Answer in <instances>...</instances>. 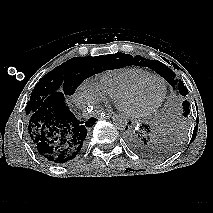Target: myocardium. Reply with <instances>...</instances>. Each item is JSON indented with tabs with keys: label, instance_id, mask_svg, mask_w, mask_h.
<instances>
[{
	"label": "myocardium",
	"instance_id": "myocardium-1",
	"mask_svg": "<svg viewBox=\"0 0 213 213\" xmlns=\"http://www.w3.org/2000/svg\"><path fill=\"white\" fill-rule=\"evenodd\" d=\"M150 79H157L162 84L163 92H162V96H161L160 100L157 103H155L147 108L141 109V110H130V109L126 108L124 105L125 100L128 97H130L132 94H134L140 88V86H142L146 81H148ZM166 94H167V87H166L165 80L160 75L151 73L147 76L139 78L138 80H136L135 82L130 84L127 88H125L116 97L115 103H116L117 108L126 116L133 117V118H141V117L151 115L156 110H158L161 107V105L163 104V102L166 98Z\"/></svg>",
	"mask_w": 213,
	"mask_h": 213
}]
</instances>
